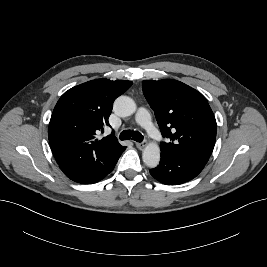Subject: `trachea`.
<instances>
[{
  "label": "trachea",
  "instance_id": "3493384b",
  "mask_svg": "<svg viewBox=\"0 0 267 267\" xmlns=\"http://www.w3.org/2000/svg\"><path fill=\"white\" fill-rule=\"evenodd\" d=\"M120 140H129L133 139L134 141L137 142H142L143 141V135L138 132V131H131V130H124L120 133L119 136Z\"/></svg>",
  "mask_w": 267,
  "mask_h": 267
}]
</instances>
